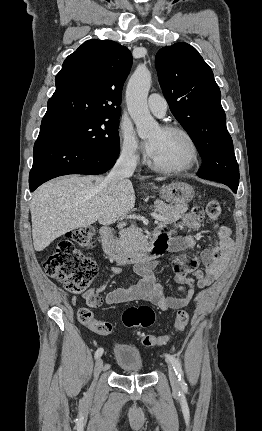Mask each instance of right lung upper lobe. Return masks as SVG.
Here are the masks:
<instances>
[{"label":"right lung upper lobe","mask_w":262,"mask_h":431,"mask_svg":"<svg viewBox=\"0 0 262 431\" xmlns=\"http://www.w3.org/2000/svg\"><path fill=\"white\" fill-rule=\"evenodd\" d=\"M132 66L127 47L88 40L69 55L56 75V91L41 126L96 116H120L122 87Z\"/></svg>","instance_id":"obj_1"}]
</instances>
